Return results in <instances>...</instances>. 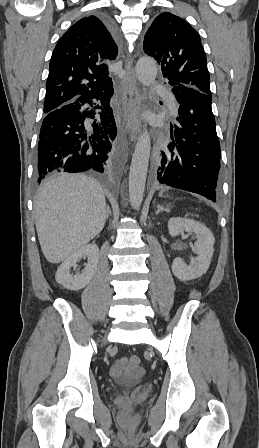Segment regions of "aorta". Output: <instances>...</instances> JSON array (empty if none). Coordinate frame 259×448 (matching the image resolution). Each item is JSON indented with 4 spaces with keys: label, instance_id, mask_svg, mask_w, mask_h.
<instances>
[{
    "label": "aorta",
    "instance_id": "762f6f07",
    "mask_svg": "<svg viewBox=\"0 0 259 448\" xmlns=\"http://www.w3.org/2000/svg\"><path fill=\"white\" fill-rule=\"evenodd\" d=\"M157 70V63L150 57H142L136 64V76L146 87L155 81ZM150 150V134L145 130L137 140L129 173V199L134 209H137L143 200Z\"/></svg>",
    "mask_w": 259,
    "mask_h": 448
}]
</instances>
